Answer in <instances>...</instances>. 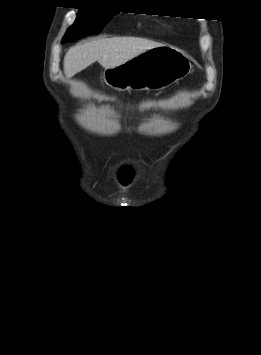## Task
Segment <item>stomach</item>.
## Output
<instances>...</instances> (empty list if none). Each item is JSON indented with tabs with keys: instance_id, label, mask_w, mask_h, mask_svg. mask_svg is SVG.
<instances>
[{
	"instance_id": "1",
	"label": "stomach",
	"mask_w": 261,
	"mask_h": 355,
	"mask_svg": "<svg viewBox=\"0 0 261 355\" xmlns=\"http://www.w3.org/2000/svg\"><path fill=\"white\" fill-rule=\"evenodd\" d=\"M192 68L190 59L184 53L162 45L105 69L102 79L118 91L160 90L186 77Z\"/></svg>"
}]
</instances>
